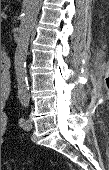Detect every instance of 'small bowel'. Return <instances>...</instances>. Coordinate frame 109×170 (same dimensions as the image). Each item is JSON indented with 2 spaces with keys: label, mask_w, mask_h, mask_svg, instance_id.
<instances>
[{
  "label": "small bowel",
  "mask_w": 109,
  "mask_h": 170,
  "mask_svg": "<svg viewBox=\"0 0 109 170\" xmlns=\"http://www.w3.org/2000/svg\"><path fill=\"white\" fill-rule=\"evenodd\" d=\"M7 125V116L5 113H1V131H5Z\"/></svg>",
  "instance_id": "c3829d8e"
}]
</instances>
